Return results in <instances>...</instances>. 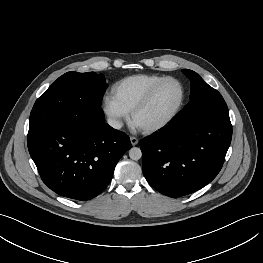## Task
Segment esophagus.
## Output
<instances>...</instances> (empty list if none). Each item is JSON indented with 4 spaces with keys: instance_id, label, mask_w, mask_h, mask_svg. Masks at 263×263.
Instances as JSON below:
<instances>
[{
    "instance_id": "esophagus-1",
    "label": "esophagus",
    "mask_w": 263,
    "mask_h": 263,
    "mask_svg": "<svg viewBox=\"0 0 263 263\" xmlns=\"http://www.w3.org/2000/svg\"><path fill=\"white\" fill-rule=\"evenodd\" d=\"M130 141H131V144L133 145V146H135V145H137L138 144V139L136 138V137H130Z\"/></svg>"
}]
</instances>
